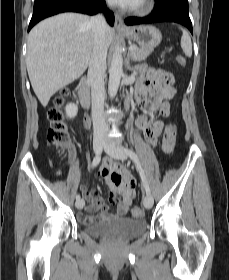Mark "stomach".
<instances>
[{"label":"stomach","mask_w":229,"mask_h":280,"mask_svg":"<svg viewBox=\"0 0 229 280\" xmlns=\"http://www.w3.org/2000/svg\"><path fill=\"white\" fill-rule=\"evenodd\" d=\"M123 35L144 49H154L162 40L161 32L151 25L131 27Z\"/></svg>","instance_id":"stomach-1"}]
</instances>
